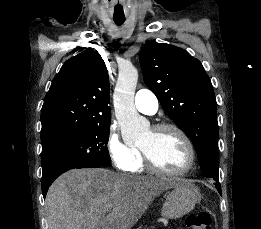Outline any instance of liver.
Masks as SVG:
<instances>
[{"label":"liver","instance_id":"liver-1","mask_svg":"<svg viewBox=\"0 0 261 229\" xmlns=\"http://www.w3.org/2000/svg\"><path fill=\"white\" fill-rule=\"evenodd\" d=\"M168 189H172V181L155 177L118 175L107 169H73L59 177L46 195L48 227L132 229L152 201Z\"/></svg>","mask_w":261,"mask_h":229}]
</instances>
